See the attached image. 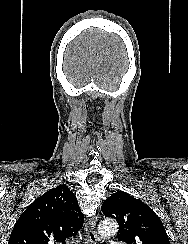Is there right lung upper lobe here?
Instances as JSON below:
<instances>
[{
  "mask_svg": "<svg viewBox=\"0 0 188 244\" xmlns=\"http://www.w3.org/2000/svg\"><path fill=\"white\" fill-rule=\"evenodd\" d=\"M84 216L66 185H59L37 198L19 217L8 244H65L77 235Z\"/></svg>",
  "mask_w": 188,
  "mask_h": 244,
  "instance_id": "obj_1",
  "label": "right lung upper lobe"
}]
</instances>
